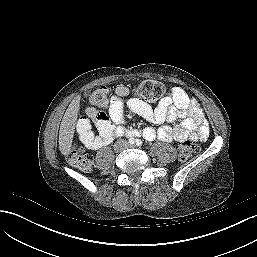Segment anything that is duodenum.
Instances as JSON below:
<instances>
[{"instance_id":"1","label":"duodenum","mask_w":257,"mask_h":257,"mask_svg":"<svg viewBox=\"0 0 257 257\" xmlns=\"http://www.w3.org/2000/svg\"><path fill=\"white\" fill-rule=\"evenodd\" d=\"M126 134L129 136H137V135H139V132L136 130H130Z\"/></svg>"}]
</instances>
